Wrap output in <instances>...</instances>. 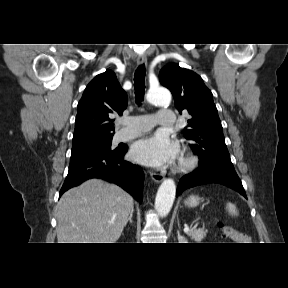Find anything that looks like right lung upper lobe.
Segmentation results:
<instances>
[{
  "label": "right lung upper lobe",
  "instance_id": "1",
  "mask_svg": "<svg viewBox=\"0 0 288 288\" xmlns=\"http://www.w3.org/2000/svg\"><path fill=\"white\" fill-rule=\"evenodd\" d=\"M127 107V94L116 75L106 71L97 75L86 87L78 103L73 147L90 145L113 136L111 114L122 115Z\"/></svg>",
  "mask_w": 288,
  "mask_h": 288
}]
</instances>
